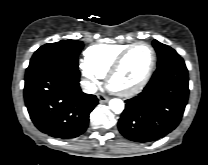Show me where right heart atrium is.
Instances as JSON below:
<instances>
[{
	"instance_id": "1",
	"label": "right heart atrium",
	"mask_w": 208,
	"mask_h": 165,
	"mask_svg": "<svg viewBox=\"0 0 208 165\" xmlns=\"http://www.w3.org/2000/svg\"><path fill=\"white\" fill-rule=\"evenodd\" d=\"M79 69L81 71V74L83 78L86 80L87 84L89 86L95 85L98 81V78L100 77L97 75L88 65L85 61H80L79 63Z\"/></svg>"
}]
</instances>
